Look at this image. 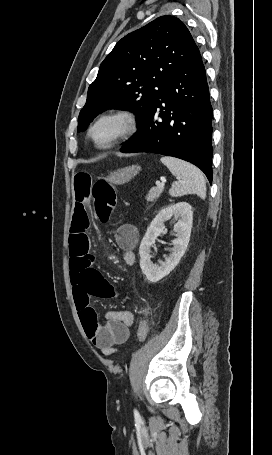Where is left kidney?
<instances>
[{
    "instance_id": "left-kidney-1",
    "label": "left kidney",
    "mask_w": 272,
    "mask_h": 455,
    "mask_svg": "<svg viewBox=\"0 0 272 455\" xmlns=\"http://www.w3.org/2000/svg\"><path fill=\"white\" fill-rule=\"evenodd\" d=\"M178 220L174 225L177 239L172 241V253L165 258V261L157 266L151 261V247L155 239L165 232L164 222L173 217ZM193 220L192 207L187 202H179L163 208L155 216L143 237L140 248V267L148 281L156 283L167 276L179 263L184 255L191 235Z\"/></svg>"
}]
</instances>
